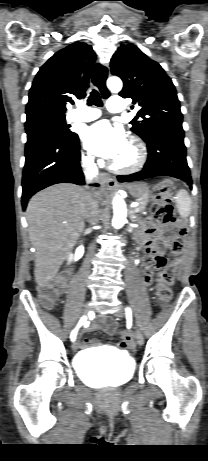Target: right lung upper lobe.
Wrapping results in <instances>:
<instances>
[{"mask_svg": "<svg viewBox=\"0 0 208 461\" xmlns=\"http://www.w3.org/2000/svg\"><path fill=\"white\" fill-rule=\"evenodd\" d=\"M95 60L92 47L81 42L55 53L35 76L26 115L65 116L66 104L73 103L72 96H85Z\"/></svg>", "mask_w": 208, "mask_h": 461, "instance_id": "1", "label": "right lung upper lobe"}]
</instances>
